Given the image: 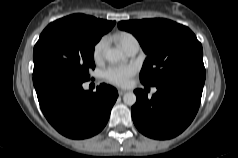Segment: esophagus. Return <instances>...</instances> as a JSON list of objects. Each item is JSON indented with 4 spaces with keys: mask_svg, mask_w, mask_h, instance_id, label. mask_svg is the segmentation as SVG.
<instances>
[{
    "mask_svg": "<svg viewBox=\"0 0 238 158\" xmlns=\"http://www.w3.org/2000/svg\"><path fill=\"white\" fill-rule=\"evenodd\" d=\"M126 93L125 90H118V94L119 96H123Z\"/></svg>",
    "mask_w": 238,
    "mask_h": 158,
    "instance_id": "1",
    "label": "esophagus"
}]
</instances>
